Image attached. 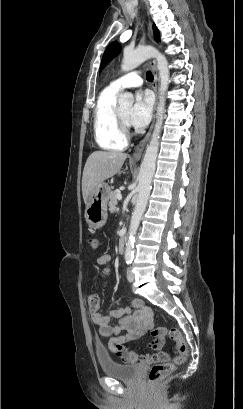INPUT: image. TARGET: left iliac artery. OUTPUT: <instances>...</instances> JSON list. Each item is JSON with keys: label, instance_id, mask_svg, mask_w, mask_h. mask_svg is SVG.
<instances>
[{"label": "left iliac artery", "instance_id": "1", "mask_svg": "<svg viewBox=\"0 0 243 409\" xmlns=\"http://www.w3.org/2000/svg\"><path fill=\"white\" fill-rule=\"evenodd\" d=\"M126 263L129 265V264L132 263V260H131L130 258H128V259L126 260Z\"/></svg>", "mask_w": 243, "mask_h": 409}]
</instances>
